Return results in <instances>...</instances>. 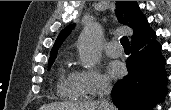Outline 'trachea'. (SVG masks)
I'll return each mask as SVG.
<instances>
[{"label":"trachea","instance_id":"trachea-1","mask_svg":"<svg viewBox=\"0 0 171 110\" xmlns=\"http://www.w3.org/2000/svg\"><path fill=\"white\" fill-rule=\"evenodd\" d=\"M120 42L124 49H130L129 39L126 36H123L120 39Z\"/></svg>","mask_w":171,"mask_h":110}]
</instances>
